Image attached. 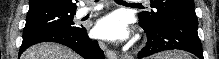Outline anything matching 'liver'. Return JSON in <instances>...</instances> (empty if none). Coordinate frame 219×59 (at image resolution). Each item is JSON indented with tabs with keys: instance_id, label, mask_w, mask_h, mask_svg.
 <instances>
[{
	"instance_id": "obj_1",
	"label": "liver",
	"mask_w": 219,
	"mask_h": 59,
	"mask_svg": "<svg viewBox=\"0 0 219 59\" xmlns=\"http://www.w3.org/2000/svg\"><path fill=\"white\" fill-rule=\"evenodd\" d=\"M21 59H82L72 50L55 43H40L28 48Z\"/></svg>"
}]
</instances>
